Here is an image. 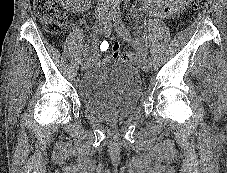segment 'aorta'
I'll list each match as a JSON object with an SVG mask.
<instances>
[{
	"label": "aorta",
	"instance_id": "762f6f07",
	"mask_svg": "<svg viewBox=\"0 0 227 173\" xmlns=\"http://www.w3.org/2000/svg\"><path fill=\"white\" fill-rule=\"evenodd\" d=\"M112 1H113V2H117V3H118L120 0H112Z\"/></svg>",
	"mask_w": 227,
	"mask_h": 173
}]
</instances>
